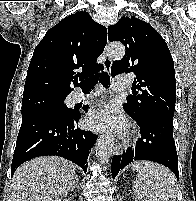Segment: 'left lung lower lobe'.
Returning a JSON list of instances; mask_svg holds the SVG:
<instances>
[{
    "label": "left lung lower lobe",
    "instance_id": "1",
    "mask_svg": "<svg viewBox=\"0 0 196 201\" xmlns=\"http://www.w3.org/2000/svg\"><path fill=\"white\" fill-rule=\"evenodd\" d=\"M141 137L135 147L129 148L122 156L112 159V178L120 169L135 160H150L170 168L179 178L178 156L173 138V116L150 114L136 120Z\"/></svg>",
    "mask_w": 196,
    "mask_h": 201
}]
</instances>
